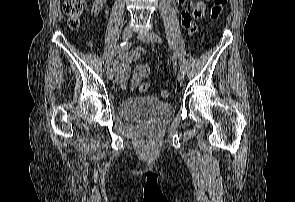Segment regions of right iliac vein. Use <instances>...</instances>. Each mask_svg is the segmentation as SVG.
Returning a JSON list of instances; mask_svg holds the SVG:
<instances>
[{
    "label": "right iliac vein",
    "mask_w": 295,
    "mask_h": 202,
    "mask_svg": "<svg viewBox=\"0 0 295 202\" xmlns=\"http://www.w3.org/2000/svg\"><path fill=\"white\" fill-rule=\"evenodd\" d=\"M133 31H134V29L132 26H127L123 32L122 39L123 40L130 39L133 35ZM106 74H107L108 79H110V80H112L115 76L114 70L112 68H108Z\"/></svg>",
    "instance_id": "obj_1"
}]
</instances>
